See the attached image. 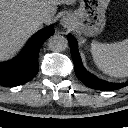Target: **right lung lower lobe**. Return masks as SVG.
I'll return each instance as SVG.
<instances>
[{
  "instance_id": "1",
  "label": "right lung lower lobe",
  "mask_w": 128,
  "mask_h": 128,
  "mask_svg": "<svg viewBox=\"0 0 128 128\" xmlns=\"http://www.w3.org/2000/svg\"><path fill=\"white\" fill-rule=\"evenodd\" d=\"M54 33L49 26L37 32L26 48L11 61L0 63V85L14 87L33 79L38 73V55L43 42Z\"/></svg>"
}]
</instances>
